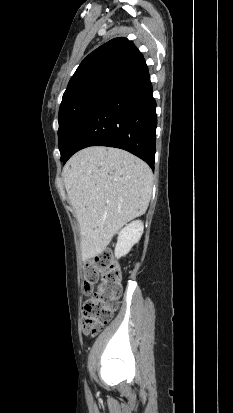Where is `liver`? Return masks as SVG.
<instances>
[{
  "mask_svg": "<svg viewBox=\"0 0 233 413\" xmlns=\"http://www.w3.org/2000/svg\"><path fill=\"white\" fill-rule=\"evenodd\" d=\"M62 176L80 226L84 261L101 254L121 227L148 208L152 171L124 150L85 148L70 158Z\"/></svg>",
  "mask_w": 233,
  "mask_h": 413,
  "instance_id": "6515ba94",
  "label": "liver"
}]
</instances>
